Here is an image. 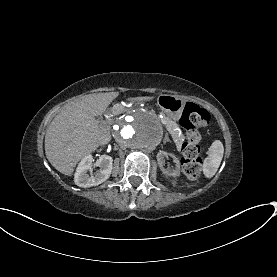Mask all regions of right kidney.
Instances as JSON below:
<instances>
[{"label": "right kidney", "instance_id": "right-kidney-1", "mask_svg": "<svg viewBox=\"0 0 277 277\" xmlns=\"http://www.w3.org/2000/svg\"><path fill=\"white\" fill-rule=\"evenodd\" d=\"M93 167L99 170L92 172ZM113 169V158L102 155L95 163H92L91 155L86 156L81 162L75 174V184L81 188L98 186L109 179Z\"/></svg>", "mask_w": 277, "mask_h": 277}]
</instances>
